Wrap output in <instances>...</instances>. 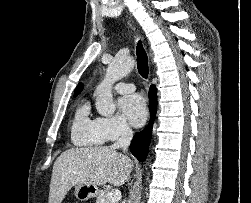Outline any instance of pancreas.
I'll list each match as a JSON object with an SVG mask.
<instances>
[{"label":"pancreas","mask_w":251,"mask_h":203,"mask_svg":"<svg viewBox=\"0 0 251 203\" xmlns=\"http://www.w3.org/2000/svg\"><path fill=\"white\" fill-rule=\"evenodd\" d=\"M109 190H104L100 192L96 198V203H113V201L108 196Z\"/></svg>","instance_id":"obj_1"}]
</instances>
